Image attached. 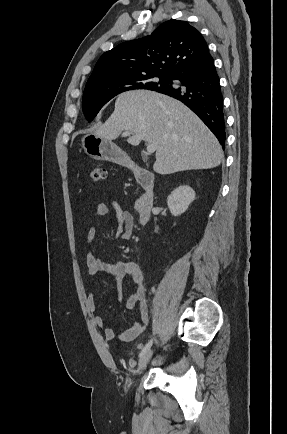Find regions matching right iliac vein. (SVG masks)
Here are the masks:
<instances>
[{"instance_id":"63e3f726","label":"right iliac vein","mask_w":287,"mask_h":434,"mask_svg":"<svg viewBox=\"0 0 287 434\" xmlns=\"http://www.w3.org/2000/svg\"><path fill=\"white\" fill-rule=\"evenodd\" d=\"M152 354H153V351L149 349L140 357V360L138 363V369H137L138 373H141L144 370V368L146 367L150 358L152 357Z\"/></svg>"}]
</instances>
